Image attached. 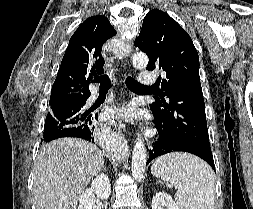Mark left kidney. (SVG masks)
<instances>
[{
	"label": "left kidney",
	"mask_w": 253,
	"mask_h": 209,
	"mask_svg": "<svg viewBox=\"0 0 253 209\" xmlns=\"http://www.w3.org/2000/svg\"><path fill=\"white\" fill-rule=\"evenodd\" d=\"M152 209H179V207L170 195L159 192L153 197Z\"/></svg>",
	"instance_id": "left-kidney-1"
}]
</instances>
